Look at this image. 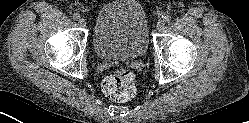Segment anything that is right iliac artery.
I'll use <instances>...</instances> for the list:
<instances>
[{"mask_svg": "<svg viewBox=\"0 0 249 123\" xmlns=\"http://www.w3.org/2000/svg\"><path fill=\"white\" fill-rule=\"evenodd\" d=\"M79 18H80V16L77 13L73 15L74 20H78Z\"/></svg>", "mask_w": 249, "mask_h": 123, "instance_id": "1", "label": "right iliac artery"}]
</instances>
